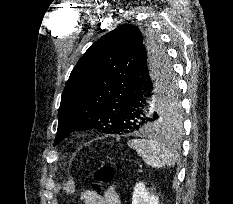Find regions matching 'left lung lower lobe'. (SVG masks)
Returning <instances> with one entry per match:
<instances>
[{
  "instance_id": "left-lung-lower-lobe-1",
  "label": "left lung lower lobe",
  "mask_w": 233,
  "mask_h": 204,
  "mask_svg": "<svg viewBox=\"0 0 233 204\" xmlns=\"http://www.w3.org/2000/svg\"><path fill=\"white\" fill-rule=\"evenodd\" d=\"M175 77L162 53L140 52L128 86L120 100L115 123L124 134L136 131H161L155 112L157 100Z\"/></svg>"
}]
</instances>
